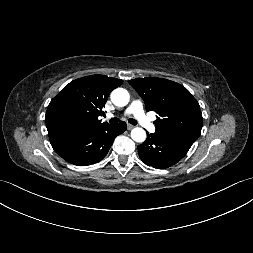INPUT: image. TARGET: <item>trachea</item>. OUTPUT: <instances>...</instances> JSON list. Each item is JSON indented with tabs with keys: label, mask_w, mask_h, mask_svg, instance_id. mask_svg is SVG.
Returning <instances> with one entry per match:
<instances>
[{
	"label": "trachea",
	"mask_w": 253,
	"mask_h": 253,
	"mask_svg": "<svg viewBox=\"0 0 253 253\" xmlns=\"http://www.w3.org/2000/svg\"><path fill=\"white\" fill-rule=\"evenodd\" d=\"M109 122H110V124H116L118 122V118H111ZM128 122L130 124H132V125H136L137 124V121L135 119H132V118H130L128 120Z\"/></svg>",
	"instance_id": "1"
}]
</instances>
